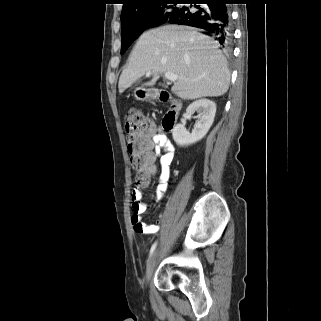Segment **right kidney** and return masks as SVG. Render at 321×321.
Segmentation results:
<instances>
[{
    "label": "right kidney",
    "instance_id": "ca27d5eb",
    "mask_svg": "<svg viewBox=\"0 0 321 321\" xmlns=\"http://www.w3.org/2000/svg\"><path fill=\"white\" fill-rule=\"evenodd\" d=\"M197 112L199 120L196 122L192 133H189L185 124H177L173 129V139L179 146H187L200 141L209 131L213 124L216 104L209 99H200L191 103L186 114L192 115Z\"/></svg>",
    "mask_w": 321,
    "mask_h": 321
}]
</instances>
